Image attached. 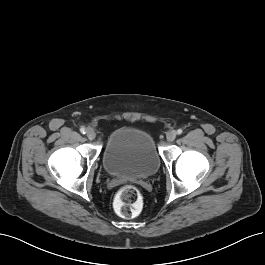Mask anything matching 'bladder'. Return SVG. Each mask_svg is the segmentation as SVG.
<instances>
[{"mask_svg": "<svg viewBox=\"0 0 265 265\" xmlns=\"http://www.w3.org/2000/svg\"><path fill=\"white\" fill-rule=\"evenodd\" d=\"M161 158L152 135L137 126H124L105 146L102 164L111 176L141 179L154 175Z\"/></svg>", "mask_w": 265, "mask_h": 265, "instance_id": "obj_1", "label": "bladder"}]
</instances>
